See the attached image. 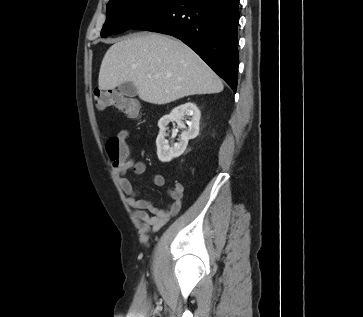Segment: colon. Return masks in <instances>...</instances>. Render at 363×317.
Here are the masks:
<instances>
[{
    "label": "colon",
    "mask_w": 363,
    "mask_h": 317,
    "mask_svg": "<svg viewBox=\"0 0 363 317\" xmlns=\"http://www.w3.org/2000/svg\"><path fill=\"white\" fill-rule=\"evenodd\" d=\"M93 100L98 109L114 107L133 119L140 114L139 106L134 98L115 90L96 89L93 92ZM105 148L115 165L122 163L129 152L127 145L119 135L110 137L106 141Z\"/></svg>",
    "instance_id": "5ec220e1"
}]
</instances>
